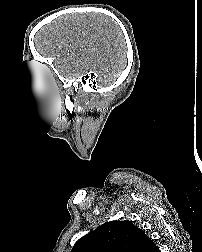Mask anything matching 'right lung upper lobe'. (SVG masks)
I'll return each instance as SVG.
<instances>
[{"label": "right lung upper lobe", "mask_w": 202, "mask_h": 252, "mask_svg": "<svg viewBox=\"0 0 202 252\" xmlns=\"http://www.w3.org/2000/svg\"><path fill=\"white\" fill-rule=\"evenodd\" d=\"M71 252H160L153 241L130 221L106 222L80 238Z\"/></svg>", "instance_id": "cb5924a9"}]
</instances>
